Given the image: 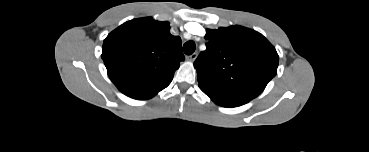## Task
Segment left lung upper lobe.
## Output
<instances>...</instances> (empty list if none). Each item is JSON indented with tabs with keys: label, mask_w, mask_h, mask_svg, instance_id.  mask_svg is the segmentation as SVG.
Instances as JSON below:
<instances>
[{
	"label": "left lung upper lobe",
	"mask_w": 369,
	"mask_h": 152,
	"mask_svg": "<svg viewBox=\"0 0 369 152\" xmlns=\"http://www.w3.org/2000/svg\"><path fill=\"white\" fill-rule=\"evenodd\" d=\"M205 38L206 50L194 62L199 87L252 100L276 75L278 54L259 32L220 27Z\"/></svg>",
	"instance_id": "obj_1"
}]
</instances>
